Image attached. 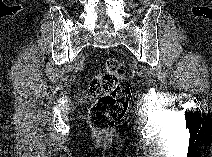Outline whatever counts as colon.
I'll list each match as a JSON object with an SVG mask.
<instances>
[{
  "label": "colon",
  "mask_w": 212,
  "mask_h": 157,
  "mask_svg": "<svg viewBox=\"0 0 212 157\" xmlns=\"http://www.w3.org/2000/svg\"><path fill=\"white\" fill-rule=\"evenodd\" d=\"M123 71L120 61L110 57L89 82L88 90L97 100L89 110L88 119L101 133L110 132L127 112L132 86L123 78Z\"/></svg>",
  "instance_id": "obj_1"
}]
</instances>
